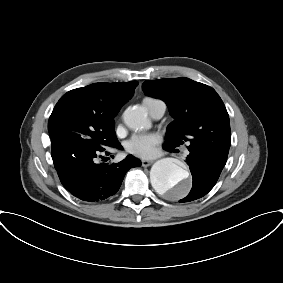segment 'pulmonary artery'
<instances>
[{
    "label": "pulmonary artery",
    "instance_id": "1",
    "mask_svg": "<svg viewBox=\"0 0 283 283\" xmlns=\"http://www.w3.org/2000/svg\"><path fill=\"white\" fill-rule=\"evenodd\" d=\"M146 107L148 108L150 116L154 119H160L166 110V104L161 100L152 101L146 105Z\"/></svg>",
    "mask_w": 283,
    "mask_h": 283
}]
</instances>
